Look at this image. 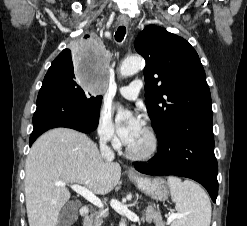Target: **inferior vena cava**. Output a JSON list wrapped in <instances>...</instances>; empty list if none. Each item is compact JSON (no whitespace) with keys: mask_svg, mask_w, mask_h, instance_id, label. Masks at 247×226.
Wrapping results in <instances>:
<instances>
[{"mask_svg":"<svg viewBox=\"0 0 247 226\" xmlns=\"http://www.w3.org/2000/svg\"><path fill=\"white\" fill-rule=\"evenodd\" d=\"M112 134L110 132H105L101 138H100V151L101 156L105 159L113 160L114 159V153L110 149V147L107 146V141L111 138Z\"/></svg>","mask_w":247,"mask_h":226,"instance_id":"1","label":"inferior vena cava"}]
</instances>
